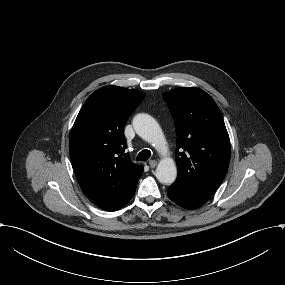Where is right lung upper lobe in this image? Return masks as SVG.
<instances>
[{
	"instance_id": "obj_1",
	"label": "right lung upper lobe",
	"mask_w": 285,
	"mask_h": 285,
	"mask_svg": "<svg viewBox=\"0 0 285 285\" xmlns=\"http://www.w3.org/2000/svg\"><path fill=\"white\" fill-rule=\"evenodd\" d=\"M145 93L118 86L96 90L81 108L70 134L71 161L89 198L106 211L134 195L143 166L125 153L124 125Z\"/></svg>"
}]
</instances>
